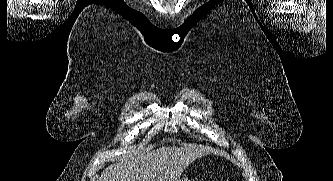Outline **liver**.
<instances>
[{
    "label": "liver",
    "mask_w": 333,
    "mask_h": 181,
    "mask_svg": "<svg viewBox=\"0 0 333 181\" xmlns=\"http://www.w3.org/2000/svg\"><path fill=\"white\" fill-rule=\"evenodd\" d=\"M205 152L197 147H162L143 156L122 158L98 181H177L186 167Z\"/></svg>",
    "instance_id": "liver-1"
}]
</instances>
